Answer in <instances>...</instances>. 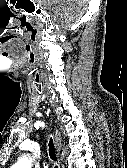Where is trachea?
<instances>
[{"label": "trachea", "instance_id": "obj_1", "mask_svg": "<svg viewBox=\"0 0 127 168\" xmlns=\"http://www.w3.org/2000/svg\"><path fill=\"white\" fill-rule=\"evenodd\" d=\"M49 155H50L51 160H53L55 162L57 158H56L55 148H54V144H53L52 139H50V141H49ZM56 168H57V166H56Z\"/></svg>", "mask_w": 127, "mask_h": 168}]
</instances>
